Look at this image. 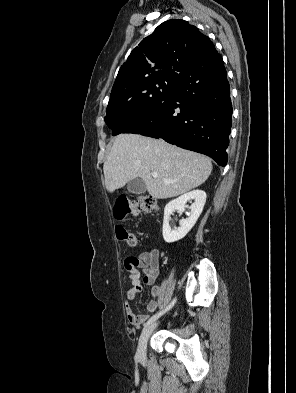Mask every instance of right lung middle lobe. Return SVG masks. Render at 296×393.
Masks as SVG:
<instances>
[{"mask_svg": "<svg viewBox=\"0 0 296 393\" xmlns=\"http://www.w3.org/2000/svg\"><path fill=\"white\" fill-rule=\"evenodd\" d=\"M177 81H159L149 85L145 91L128 100L108 103L105 123L112 135L120 134L127 126L144 117L153 108L171 95Z\"/></svg>", "mask_w": 296, "mask_h": 393, "instance_id": "right-lung-middle-lobe-1", "label": "right lung middle lobe"}]
</instances>
